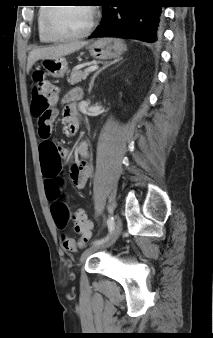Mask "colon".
I'll list each match as a JSON object with an SVG mask.
<instances>
[{"label": "colon", "mask_w": 213, "mask_h": 338, "mask_svg": "<svg viewBox=\"0 0 213 338\" xmlns=\"http://www.w3.org/2000/svg\"><path fill=\"white\" fill-rule=\"evenodd\" d=\"M34 81L31 112L37 119L39 136L45 140L48 139L51 132L49 121H51L54 114L57 92L55 86L43 75V73L35 74ZM56 147L55 143L47 142L41 146V150L46 155H50ZM58 200L60 204H57L53 208L56 220L59 223H62L64 220L72 219L75 224L76 232L80 234L78 240L66 236L62 237L63 248L66 251L75 252L89 242L92 226L81 210L72 209L67 205L62 193H59Z\"/></svg>", "instance_id": "obj_1"}]
</instances>
